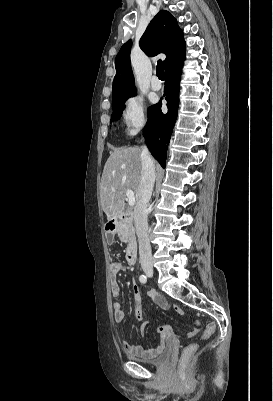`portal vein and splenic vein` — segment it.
Listing matches in <instances>:
<instances>
[{
	"label": "portal vein and splenic vein",
	"mask_w": 273,
	"mask_h": 401,
	"mask_svg": "<svg viewBox=\"0 0 273 401\" xmlns=\"http://www.w3.org/2000/svg\"><path fill=\"white\" fill-rule=\"evenodd\" d=\"M126 196H128V203L133 207L135 205V196L133 190H127Z\"/></svg>",
	"instance_id": "18ae733b"
}]
</instances>
